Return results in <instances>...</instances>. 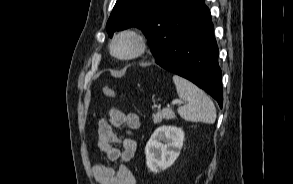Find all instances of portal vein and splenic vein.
I'll return each mask as SVG.
<instances>
[{"label": "portal vein and splenic vein", "mask_w": 293, "mask_h": 184, "mask_svg": "<svg viewBox=\"0 0 293 184\" xmlns=\"http://www.w3.org/2000/svg\"><path fill=\"white\" fill-rule=\"evenodd\" d=\"M183 102L181 100H174L172 105H181ZM169 106V105H168Z\"/></svg>", "instance_id": "1"}]
</instances>
